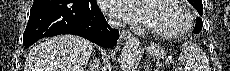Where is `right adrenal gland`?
Masks as SVG:
<instances>
[{
  "instance_id": "obj_1",
  "label": "right adrenal gland",
  "mask_w": 230,
  "mask_h": 71,
  "mask_svg": "<svg viewBox=\"0 0 230 71\" xmlns=\"http://www.w3.org/2000/svg\"><path fill=\"white\" fill-rule=\"evenodd\" d=\"M87 71H98V61L94 60V63L91 65L90 69Z\"/></svg>"
}]
</instances>
